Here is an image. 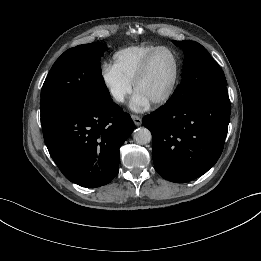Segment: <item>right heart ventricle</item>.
Masks as SVG:
<instances>
[{
    "label": "right heart ventricle",
    "instance_id": "right-heart-ventricle-1",
    "mask_svg": "<svg viewBox=\"0 0 261 261\" xmlns=\"http://www.w3.org/2000/svg\"><path fill=\"white\" fill-rule=\"evenodd\" d=\"M158 47L156 45L141 44L122 48L114 53L112 66L123 77L133 83L146 57Z\"/></svg>",
    "mask_w": 261,
    "mask_h": 261
}]
</instances>
